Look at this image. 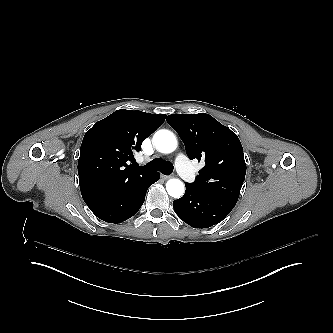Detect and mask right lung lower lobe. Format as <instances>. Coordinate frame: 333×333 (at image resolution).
I'll use <instances>...</instances> for the list:
<instances>
[{"label": "right lung lower lobe", "instance_id": "right-lung-lower-lobe-1", "mask_svg": "<svg viewBox=\"0 0 333 333\" xmlns=\"http://www.w3.org/2000/svg\"><path fill=\"white\" fill-rule=\"evenodd\" d=\"M158 172L144 171L114 184H92L80 187L89 209L103 221L121 223L137 213L147 189L159 180Z\"/></svg>", "mask_w": 333, "mask_h": 333}]
</instances>
